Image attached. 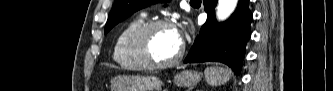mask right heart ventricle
<instances>
[{"label":"right heart ventricle","instance_id":"1","mask_svg":"<svg viewBox=\"0 0 333 91\" xmlns=\"http://www.w3.org/2000/svg\"><path fill=\"white\" fill-rule=\"evenodd\" d=\"M145 23V17L140 15L127 23L116 36L112 57L113 60L123 69L142 70L144 67L139 64L131 55L129 50V39L135 29Z\"/></svg>","mask_w":333,"mask_h":91}]
</instances>
